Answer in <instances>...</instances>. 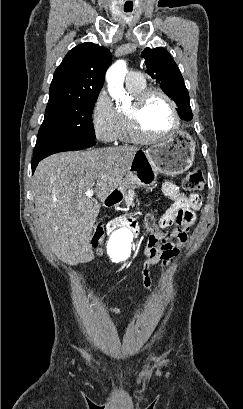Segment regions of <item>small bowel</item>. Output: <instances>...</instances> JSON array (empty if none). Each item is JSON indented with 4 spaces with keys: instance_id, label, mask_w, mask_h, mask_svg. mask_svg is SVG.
I'll return each instance as SVG.
<instances>
[{
    "instance_id": "1",
    "label": "small bowel",
    "mask_w": 243,
    "mask_h": 409,
    "mask_svg": "<svg viewBox=\"0 0 243 409\" xmlns=\"http://www.w3.org/2000/svg\"><path fill=\"white\" fill-rule=\"evenodd\" d=\"M163 195L173 200L172 205L159 215V226L162 229L175 226L170 231L151 235L145 248L146 260L143 264V284L150 289L152 279L150 267L160 264L166 268L180 253V248L185 244L188 232L196 221L195 211L199 209L202 198L199 194H182L178 187L165 182L162 188ZM115 314H121L123 310L117 307H109Z\"/></svg>"
}]
</instances>
